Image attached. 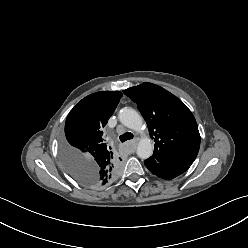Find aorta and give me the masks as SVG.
Listing matches in <instances>:
<instances>
[{
    "instance_id": "1",
    "label": "aorta",
    "mask_w": 248,
    "mask_h": 248,
    "mask_svg": "<svg viewBox=\"0 0 248 248\" xmlns=\"http://www.w3.org/2000/svg\"><path fill=\"white\" fill-rule=\"evenodd\" d=\"M119 121L129 129L139 131L143 125L140 114L133 108H123L118 114ZM153 154V145L149 138H142L137 146V155L147 159Z\"/></svg>"
}]
</instances>
